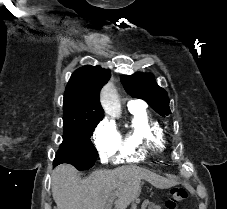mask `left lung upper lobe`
I'll return each instance as SVG.
<instances>
[{"label": "left lung upper lobe", "mask_w": 227, "mask_h": 209, "mask_svg": "<svg viewBox=\"0 0 227 209\" xmlns=\"http://www.w3.org/2000/svg\"><path fill=\"white\" fill-rule=\"evenodd\" d=\"M120 80L129 95L145 100L161 116L165 117L171 113L167 92L157 85L152 75H122Z\"/></svg>", "instance_id": "left-lung-upper-lobe-1"}]
</instances>
